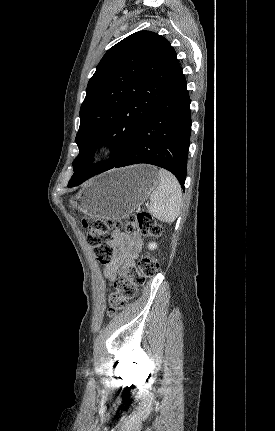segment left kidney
<instances>
[{"label":"left kidney","mask_w":275,"mask_h":431,"mask_svg":"<svg viewBox=\"0 0 275 431\" xmlns=\"http://www.w3.org/2000/svg\"><path fill=\"white\" fill-rule=\"evenodd\" d=\"M148 248L150 250H154L157 248V244L155 242H151V243H149Z\"/></svg>","instance_id":"obj_1"}]
</instances>
